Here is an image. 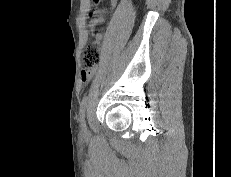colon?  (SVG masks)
Listing matches in <instances>:
<instances>
[{
    "mask_svg": "<svg viewBox=\"0 0 231 177\" xmlns=\"http://www.w3.org/2000/svg\"><path fill=\"white\" fill-rule=\"evenodd\" d=\"M82 59L85 71L92 70L100 63V52L96 41H91L85 46Z\"/></svg>",
    "mask_w": 231,
    "mask_h": 177,
    "instance_id": "colon-1",
    "label": "colon"
}]
</instances>
